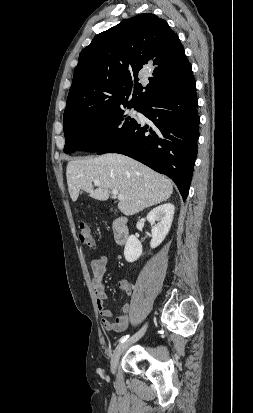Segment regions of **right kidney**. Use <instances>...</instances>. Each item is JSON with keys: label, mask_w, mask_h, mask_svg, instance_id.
Instances as JSON below:
<instances>
[{"label": "right kidney", "mask_w": 253, "mask_h": 413, "mask_svg": "<svg viewBox=\"0 0 253 413\" xmlns=\"http://www.w3.org/2000/svg\"><path fill=\"white\" fill-rule=\"evenodd\" d=\"M175 207L171 203L160 205L151 210L147 215V220L151 224L152 240L150 247L156 248L159 246L166 235L168 234L174 216ZM157 221V224L155 223ZM142 255V245L138 238L134 235H130L125 248L124 257L127 262H134Z\"/></svg>", "instance_id": "obj_1"}]
</instances>
